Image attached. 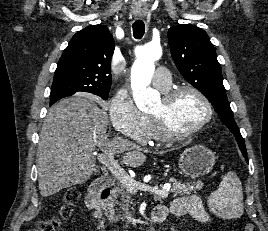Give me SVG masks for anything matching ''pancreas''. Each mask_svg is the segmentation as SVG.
Here are the masks:
<instances>
[{
	"mask_svg": "<svg viewBox=\"0 0 268 231\" xmlns=\"http://www.w3.org/2000/svg\"><path fill=\"white\" fill-rule=\"evenodd\" d=\"M169 184L171 185L170 192L173 193V196L189 195L202 187L201 182L196 184L191 182L182 183L175 178H170ZM131 203L129 189L122 183L119 184L112 190L111 197L104 206L106 217L110 222H118L119 218L124 220L127 208ZM120 210H122V215L119 214Z\"/></svg>",
	"mask_w": 268,
	"mask_h": 231,
	"instance_id": "pancreas-1",
	"label": "pancreas"
}]
</instances>
